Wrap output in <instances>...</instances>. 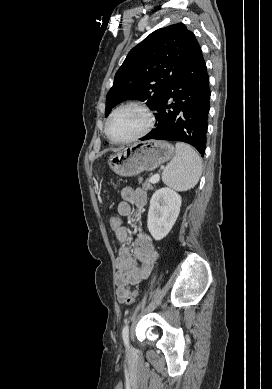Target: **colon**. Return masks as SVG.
Masks as SVG:
<instances>
[{"label": "colon", "instance_id": "obj_1", "mask_svg": "<svg viewBox=\"0 0 272 389\" xmlns=\"http://www.w3.org/2000/svg\"><path fill=\"white\" fill-rule=\"evenodd\" d=\"M109 225H110V228L112 231H114V232L118 231L122 226V220H121L120 216L119 215H112L109 218ZM137 296H138V292L132 291L125 297L124 302L126 304H133L136 301Z\"/></svg>", "mask_w": 272, "mask_h": 389}]
</instances>
